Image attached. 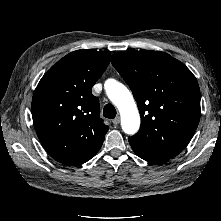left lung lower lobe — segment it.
Instances as JSON below:
<instances>
[{"mask_svg": "<svg viewBox=\"0 0 221 221\" xmlns=\"http://www.w3.org/2000/svg\"><path fill=\"white\" fill-rule=\"evenodd\" d=\"M140 158L151 162V163H156V164H160V163H165L168 160H170L171 158L168 157H163V156H157V155H149V154H142L140 152H136L134 151Z\"/></svg>", "mask_w": 221, "mask_h": 221, "instance_id": "1", "label": "left lung lower lobe"}]
</instances>
